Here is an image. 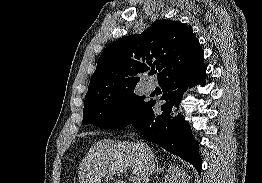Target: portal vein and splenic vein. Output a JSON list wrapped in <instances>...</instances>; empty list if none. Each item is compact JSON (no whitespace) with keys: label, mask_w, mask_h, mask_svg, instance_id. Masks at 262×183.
I'll return each instance as SVG.
<instances>
[{"label":"portal vein and splenic vein","mask_w":262,"mask_h":183,"mask_svg":"<svg viewBox=\"0 0 262 183\" xmlns=\"http://www.w3.org/2000/svg\"><path fill=\"white\" fill-rule=\"evenodd\" d=\"M126 172H127L126 169H122V170L115 172L114 174L120 175V174H126ZM131 181H132V183H141L140 178H138L136 176H133Z\"/></svg>","instance_id":"obj_1"}]
</instances>
